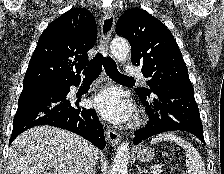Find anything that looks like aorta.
I'll return each mask as SVG.
<instances>
[{"label": "aorta", "instance_id": "762f6f07", "mask_svg": "<svg viewBox=\"0 0 224 174\" xmlns=\"http://www.w3.org/2000/svg\"><path fill=\"white\" fill-rule=\"evenodd\" d=\"M111 53L118 61H124L130 53V46L126 39L115 38L110 45ZM129 162V143L123 142L117 148L114 157L111 174H127Z\"/></svg>", "mask_w": 224, "mask_h": 174}]
</instances>
